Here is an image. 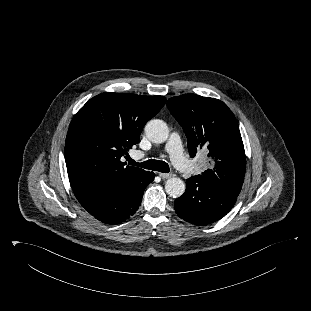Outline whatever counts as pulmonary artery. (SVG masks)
<instances>
[{
	"label": "pulmonary artery",
	"mask_w": 311,
	"mask_h": 311,
	"mask_svg": "<svg viewBox=\"0 0 311 311\" xmlns=\"http://www.w3.org/2000/svg\"><path fill=\"white\" fill-rule=\"evenodd\" d=\"M166 151L169 153L173 164L182 172L192 173L195 166L184 156L180 135L173 132L166 144Z\"/></svg>",
	"instance_id": "e3ab8cb5"
}]
</instances>
